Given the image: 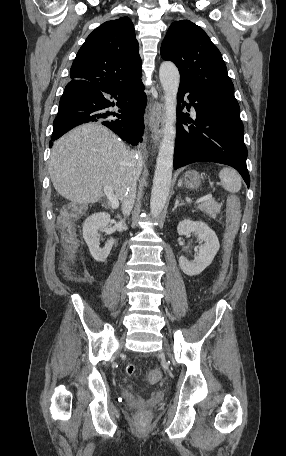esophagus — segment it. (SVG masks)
Wrapping results in <instances>:
<instances>
[{
  "instance_id": "34e87169",
  "label": "esophagus",
  "mask_w": 286,
  "mask_h": 456,
  "mask_svg": "<svg viewBox=\"0 0 286 456\" xmlns=\"http://www.w3.org/2000/svg\"><path fill=\"white\" fill-rule=\"evenodd\" d=\"M164 103L154 102L148 111V124L151 131V140L155 146L160 143L164 126Z\"/></svg>"
}]
</instances>
